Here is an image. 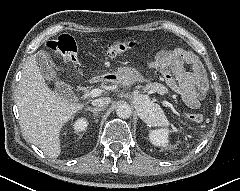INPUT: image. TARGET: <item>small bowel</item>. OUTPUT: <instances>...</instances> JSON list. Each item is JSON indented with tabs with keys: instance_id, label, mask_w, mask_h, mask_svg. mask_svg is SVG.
<instances>
[{
	"instance_id": "1",
	"label": "small bowel",
	"mask_w": 240,
	"mask_h": 191,
	"mask_svg": "<svg viewBox=\"0 0 240 191\" xmlns=\"http://www.w3.org/2000/svg\"><path fill=\"white\" fill-rule=\"evenodd\" d=\"M163 58L166 63L163 71L168 84L182 96L189 107H198L199 100L206 96L209 89L208 78L198 57L191 51L175 49L157 59V67ZM153 65L150 63L151 67Z\"/></svg>"
}]
</instances>
